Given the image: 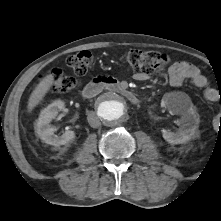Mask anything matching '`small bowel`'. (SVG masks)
<instances>
[{
    "label": "small bowel",
    "mask_w": 221,
    "mask_h": 221,
    "mask_svg": "<svg viewBox=\"0 0 221 221\" xmlns=\"http://www.w3.org/2000/svg\"><path fill=\"white\" fill-rule=\"evenodd\" d=\"M169 83L172 86H180L184 80H190L196 87L204 89V97L211 102L220 100V95L214 88L208 86V81L200 72L199 68L187 61H176L168 70ZM134 78L144 81L148 78L146 74L136 73Z\"/></svg>",
    "instance_id": "1"
}]
</instances>
